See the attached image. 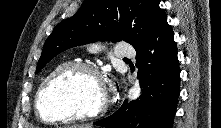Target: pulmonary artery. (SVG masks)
I'll return each instance as SVG.
<instances>
[{
	"instance_id": "pulmonary-artery-1",
	"label": "pulmonary artery",
	"mask_w": 221,
	"mask_h": 128,
	"mask_svg": "<svg viewBox=\"0 0 221 128\" xmlns=\"http://www.w3.org/2000/svg\"><path fill=\"white\" fill-rule=\"evenodd\" d=\"M95 47V45H91ZM114 54L118 58L129 60L130 57H134V51L129 49L124 43H119L114 46Z\"/></svg>"
}]
</instances>
